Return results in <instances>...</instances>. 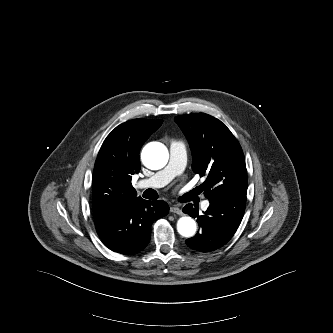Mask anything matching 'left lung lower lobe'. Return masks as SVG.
<instances>
[{
  "instance_id": "1",
  "label": "left lung lower lobe",
  "mask_w": 333,
  "mask_h": 333,
  "mask_svg": "<svg viewBox=\"0 0 333 333\" xmlns=\"http://www.w3.org/2000/svg\"><path fill=\"white\" fill-rule=\"evenodd\" d=\"M209 201L210 205L202 215L192 204L183 208L184 213L197 218L200 227L197 234L185 242L200 252L214 251L232 238L243 218L246 194L220 195Z\"/></svg>"
}]
</instances>
